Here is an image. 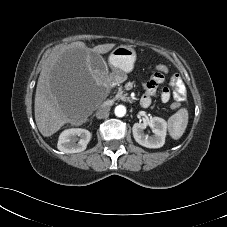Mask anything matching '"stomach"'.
<instances>
[{"label":"stomach","instance_id":"stomach-1","mask_svg":"<svg viewBox=\"0 0 227 227\" xmlns=\"http://www.w3.org/2000/svg\"><path fill=\"white\" fill-rule=\"evenodd\" d=\"M135 60V50L130 45H120L111 52L109 64L115 71L119 72L122 77L132 71Z\"/></svg>","mask_w":227,"mask_h":227}]
</instances>
